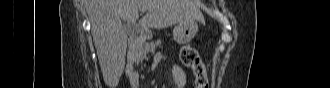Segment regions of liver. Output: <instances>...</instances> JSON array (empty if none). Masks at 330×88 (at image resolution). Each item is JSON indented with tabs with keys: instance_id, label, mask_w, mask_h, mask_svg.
Here are the masks:
<instances>
[{
	"instance_id": "liver-1",
	"label": "liver",
	"mask_w": 330,
	"mask_h": 88,
	"mask_svg": "<svg viewBox=\"0 0 330 88\" xmlns=\"http://www.w3.org/2000/svg\"><path fill=\"white\" fill-rule=\"evenodd\" d=\"M142 8L147 11L138 22L142 30L204 19L193 0H87L93 42L110 88L118 85L125 67L128 34L122 21L135 25Z\"/></svg>"
}]
</instances>
